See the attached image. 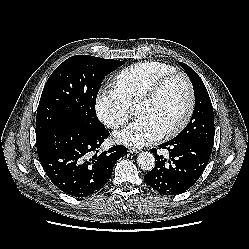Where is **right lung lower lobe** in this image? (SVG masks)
Here are the masks:
<instances>
[{
  "instance_id": "right-lung-lower-lobe-1",
  "label": "right lung lower lobe",
  "mask_w": 249,
  "mask_h": 249,
  "mask_svg": "<svg viewBox=\"0 0 249 249\" xmlns=\"http://www.w3.org/2000/svg\"><path fill=\"white\" fill-rule=\"evenodd\" d=\"M108 136L106 129L67 125L36 137L39 160L52 183L74 197L98 192L110 179L115 162L127 154L122 145L99 152Z\"/></svg>"
}]
</instances>
